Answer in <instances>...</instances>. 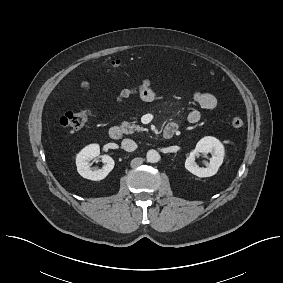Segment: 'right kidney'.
<instances>
[{
    "mask_svg": "<svg viewBox=\"0 0 283 283\" xmlns=\"http://www.w3.org/2000/svg\"><path fill=\"white\" fill-rule=\"evenodd\" d=\"M100 156V148L98 144H91L83 148L76 157V165L78 173L86 179L99 181L104 179L114 168L115 162L109 155H101L104 163L101 169L92 170L90 161Z\"/></svg>",
    "mask_w": 283,
    "mask_h": 283,
    "instance_id": "obj_1",
    "label": "right kidney"
}]
</instances>
